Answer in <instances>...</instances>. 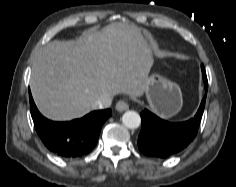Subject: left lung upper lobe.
Masks as SVG:
<instances>
[{"label":"left lung upper lobe","mask_w":236,"mask_h":187,"mask_svg":"<svg viewBox=\"0 0 236 187\" xmlns=\"http://www.w3.org/2000/svg\"><path fill=\"white\" fill-rule=\"evenodd\" d=\"M202 76H203L204 84H205V83L208 84L206 72H205L204 75H202Z\"/></svg>","instance_id":"left-lung-upper-lobe-1"}]
</instances>
